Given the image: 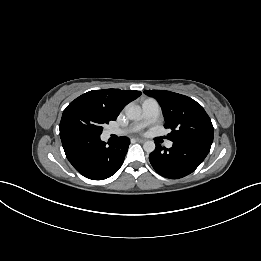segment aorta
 <instances>
[{"label": "aorta", "instance_id": "762f6f07", "mask_svg": "<svg viewBox=\"0 0 261 261\" xmlns=\"http://www.w3.org/2000/svg\"><path fill=\"white\" fill-rule=\"evenodd\" d=\"M125 112L130 120H136L140 118L142 110L140 106L131 104L126 107ZM143 148L147 153H151L155 150V143L153 141H146Z\"/></svg>", "mask_w": 261, "mask_h": 261}]
</instances>
